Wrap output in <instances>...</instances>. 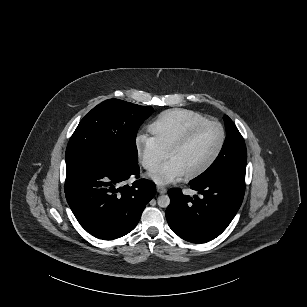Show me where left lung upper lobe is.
<instances>
[{
  "mask_svg": "<svg viewBox=\"0 0 307 307\" xmlns=\"http://www.w3.org/2000/svg\"><path fill=\"white\" fill-rule=\"evenodd\" d=\"M224 122L227 134L219 156L207 171L191 180V184L225 177L245 180L247 151L244 139L227 115L224 116Z\"/></svg>",
  "mask_w": 307,
  "mask_h": 307,
  "instance_id": "1",
  "label": "left lung upper lobe"
}]
</instances>
